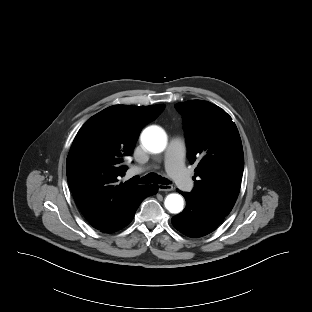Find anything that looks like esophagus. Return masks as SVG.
<instances>
[{"label":"esophagus","instance_id":"1","mask_svg":"<svg viewBox=\"0 0 312 312\" xmlns=\"http://www.w3.org/2000/svg\"><path fill=\"white\" fill-rule=\"evenodd\" d=\"M158 190L159 191H172L173 186L172 185H166V184H159L158 185Z\"/></svg>","mask_w":312,"mask_h":312}]
</instances>
